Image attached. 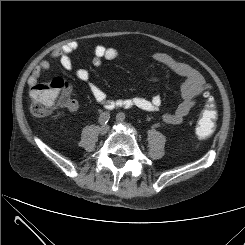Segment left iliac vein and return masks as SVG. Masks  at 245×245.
Listing matches in <instances>:
<instances>
[{"instance_id":"1","label":"left iliac vein","mask_w":245,"mask_h":245,"mask_svg":"<svg viewBox=\"0 0 245 245\" xmlns=\"http://www.w3.org/2000/svg\"><path fill=\"white\" fill-rule=\"evenodd\" d=\"M116 122L117 123H120V124H124L127 128H131L130 125L128 124H125L123 119L119 118V117H116Z\"/></svg>"}]
</instances>
